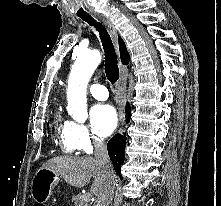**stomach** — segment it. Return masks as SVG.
I'll use <instances>...</instances> for the list:
<instances>
[{"label": "stomach", "mask_w": 221, "mask_h": 206, "mask_svg": "<svg viewBox=\"0 0 221 206\" xmlns=\"http://www.w3.org/2000/svg\"><path fill=\"white\" fill-rule=\"evenodd\" d=\"M61 181V177L49 168L41 167L33 177L31 195L37 203L43 204L52 190Z\"/></svg>", "instance_id": "1"}]
</instances>
